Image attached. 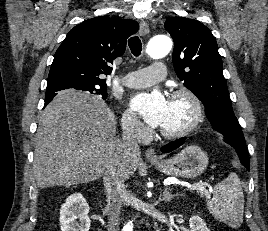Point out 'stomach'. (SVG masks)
<instances>
[{"label":"stomach","mask_w":268,"mask_h":231,"mask_svg":"<svg viewBox=\"0 0 268 231\" xmlns=\"http://www.w3.org/2000/svg\"><path fill=\"white\" fill-rule=\"evenodd\" d=\"M152 164L168 176L195 178L208 166V155L200 147L191 145L168 160L152 161Z\"/></svg>","instance_id":"stomach-1"}]
</instances>
